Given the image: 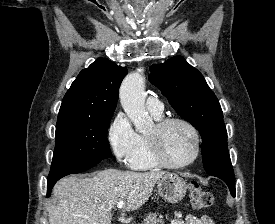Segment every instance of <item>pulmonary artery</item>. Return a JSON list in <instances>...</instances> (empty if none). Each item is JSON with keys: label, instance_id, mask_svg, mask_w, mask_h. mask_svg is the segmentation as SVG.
<instances>
[{"label": "pulmonary artery", "instance_id": "e3ab8cb5", "mask_svg": "<svg viewBox=\"0 0 275 224\" xmlns=\"http://www.w3.org/2000/svg\"><path fill=\"white\" fill-rule=\"evenodd\" d=\"M146 107L148 111L155 114H162L163 104L158 97L149 96L146 100Z\"/></svg>", "mask_w": 275, "mask_h": 224}]
</instances>
